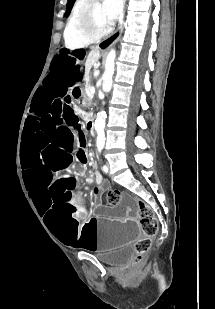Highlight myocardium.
<instances>
[{
    "instance_id": "myocardium-1",
    "label": "myocardium",
    "mask_w": 215,
    "mask_h": 309,
    "mask_svg": "<svg viewBox=\"0 0 215 309\" xmlns=\"http://www.w3.org/2000/svg\"><path fill=\"white\" fill-rule=\"evenodd\" d=\"M90 11H94V6H86V8H82L79 10H76L75 13L77 16H80L82 20L80 23H76V25L80 28H76L75 31H82V33L85 35H82L81 37H91V38H104L105 34H109L110 30L114 29V20L113 19H107L105 21V27H97V21L91 19V16L88 15ZM75 25V26H76ZM74 26V27H75ZM92 44V43H91ZM91 44H82L84 46H88Z\"/></svg>"
}]
</instances>
